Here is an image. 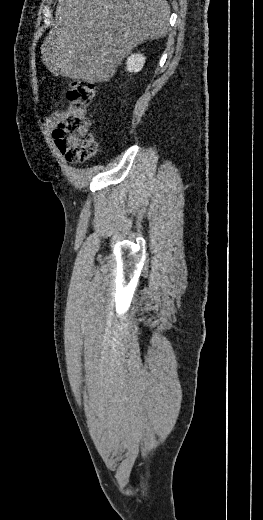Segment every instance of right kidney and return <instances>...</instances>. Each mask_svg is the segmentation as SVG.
I'll return each mask as SVG.
<instances>
[{
	"label": "right kidney",
	"instance_id": "right-kidney-1",
	"mask_svg": "<svg viewBox=\"0 0 263 520\" xmlns=\"http://www.w3.org/2000/svg\"><path fill=\"white\" fill-rule=\"evenodd\" d=\"M145 57L142 54H132L127 58V71L128 72H139L145 63Z\"/></svg>",
	"mask_w": 263,
	"mask_h": 520
}]
</instances>
